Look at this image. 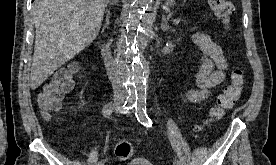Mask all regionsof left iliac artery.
I'll return each instance as SVG.
<instances>
[{
	"instance_id": "44dca946",
	"label": "left iliac artery",
	"mask_w": 276,
	"mask_h": 165,
	"mask_svg": "<svg viewBox=\"0 0 276 165\" xmlns=\"http://www.w3.org/2000/svg\"><path fill=\"white\" fill-rule=\"evenodd\" d=\"M135 115L137 120L146 127H151L152 122L146 113V101L140 99L135 105ZM175 165H181L179 160H175Z\"/></svg>"
}]
</instances>
